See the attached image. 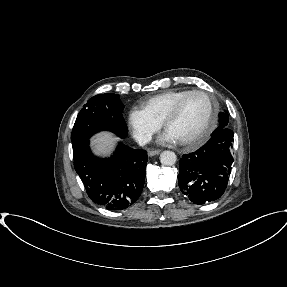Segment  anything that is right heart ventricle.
<instances>
[{
	"instance_id": "e07e8e85",
	"label": "right heart ventricle",
	"mask_w": 287,
	"mask_h": 287,
	"mask_svg": "<svg viewBox=\"0 0 287 287\" xmlns=\"http://www.w3.org/2000/svg\"><path fill=\"white\" fill-rule=\"evenodd\" d=\"M192 90L173 89L154 95L139 104L142 110L152 120L162 123L165 115L174 104Z\"/></svg>"
}]
</instances>
